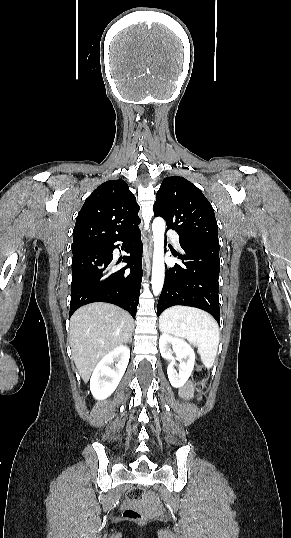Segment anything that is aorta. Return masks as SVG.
I'll return each mask as SVG.
<instances>
[{"label":"aorta","mask_w":291,"mask_h":538,"mask_svg":"<svg viewBox=\"0 0 291 538\" xmlns=\"http://www.w3.org/2000/svg\"><path fill=\"white\" fill-rule=\"evenodd\" d=\"M154 253L152 266V291L155 296L162 291L164 283V233L165 221L161 217H156L152 223Z\"/></svg>","instance_id":"obj_1"}]
</instances>
